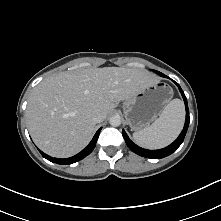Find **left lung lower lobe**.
Listing matches in <instances>:
<instances>
[{
	"label": "left lung lower lobe",
	"instance_id": "0a47b994",
	"mask_svg": "<svg viewBox=\"0 0 221 221\" xmlns=\"http://www.w3.org/2000/svg\"><path fill=\"white\" fill-rule=\"evenodd\" d=\"M161 76H164L162 73H160ZM175 84L178 86L181 95L184 99V103H185V108H186V120H185V124H184V128L181 132V134L178 136V138L169 146L163 148V149H159V150H148V149H144L141 148L139 146H137L136 144H134L128 137V135L126 134V132L123 130V137L125 139V142L127 144V146L130 148L131 151H133L134 153L146 157V158H152V159H161L164 158L166 156L171 155L173 152H175L178 147L181 145V143L183 142L188 126H189V109H188V105H187V98L184 94V92L182 91L181 87L179 86L178 83L175 82Z\"/></svg>",
	"mask_w": 221,
	"mask_h": 221
}]
</instances>
